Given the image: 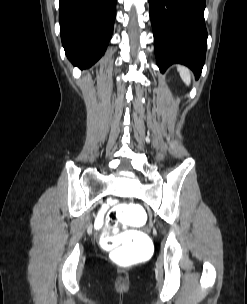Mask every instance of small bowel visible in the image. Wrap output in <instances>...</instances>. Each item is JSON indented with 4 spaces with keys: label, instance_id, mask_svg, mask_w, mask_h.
<instances>
[{
    "label": "small bowel",
    "instance_id": "small-bowel-1",
    "mask_svg": "<svg viewBox=\"0 0 247 304\" xmlns=\"http://www.w3.org/2000/svg\"><path fill=\"white\" fill-rule=\"evenodd\" d=\"M104 222V211H102L96 219L95 225L96 227H101ZM117 232V230H115Z\"/></svg>",
    "mask_w": 247,
    "mask_h": 304
}]
</instances>
